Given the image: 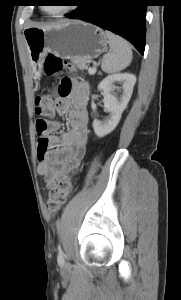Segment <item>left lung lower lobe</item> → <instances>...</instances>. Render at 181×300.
<instances>
[{"instance_id": "obj_1", "label": "left lung lower lobe", "mask_w": 181, "mask_h": 300, "mask_svg": "<svg viewBox=\"0 0 181 300\" xmlns=\"http://www.w3.org/2000/svg\"><path fill=\"white\" fill-rule=\"evenodd\" d=\"M81 6L68 14L112 31L127 39L141 53L145 49V0H82Z\"/></svg>"}]
</instances>
